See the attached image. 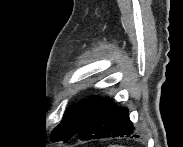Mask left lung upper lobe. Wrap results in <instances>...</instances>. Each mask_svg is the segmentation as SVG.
<instances>
[{"instance_id": "5c2ea615", "label": "left lung upper lobe", "mask_w": 183, "mask_h": 147, "mask_svg": "<svg viewBox=\"0 0 183 147\" xmlns=\"http://www.w3.org/2000/svg\"><path fill=\"white\" fill-rule=\"evenodd\" d=\"M99 100V97H91L66 112L62 122L52 131V140L65 141L74 136Z\"/></svg>"}]
</instances>
